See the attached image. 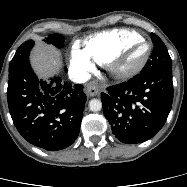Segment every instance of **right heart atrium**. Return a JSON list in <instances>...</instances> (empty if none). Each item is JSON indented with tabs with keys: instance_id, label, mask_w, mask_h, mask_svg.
I'll return each mask as SVG.
<instances>
[{
	"instance_id": "obj_1",
	"label": "right heart atrium",
	"mask_w": 187,
	"mask_h": 187,
	"mask_svg": "<svg viewBox=\"0 0 187 187\" xmlns=\"http://www.w3.org/2000/svg\"><path fill=\"white\" fill-rule=\"evenodd\" d=\"M71 66L79 76H86L94 70V62L78 43L73 44L70 52Z\"/></svg>"
}]
</instances>
